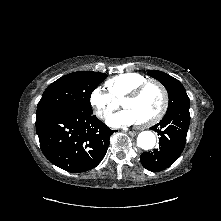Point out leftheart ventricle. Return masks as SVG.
Listing matches in <instances>:
<instances>
[{
    "label": "left heart ventricle",
    "mask_w": 221,
    "mask_h": 221,
    "mask_svg": "<svg viewBox=\"0 0 221 221\" xmlns=\"http://www.w3.org/2000/svg\"><path fill=\"white\" fill-rule=\"evenodd\" d=\"M162 105V96L154 85L148 86L136 99L123 102L122 106L130 110L137 118L138 123L154 116Z\"/></svg>",
    "instance_id": "obj_1"
}]
</instances>
